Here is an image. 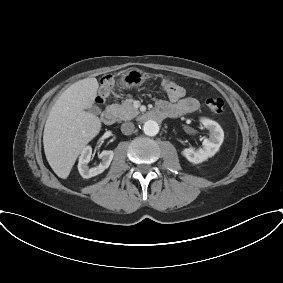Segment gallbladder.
<instances>
[{"label":"gallbladder","instance_id":"obj_1","mask_svg":"<svg viewBox=\"0 0 283 283\" xmlns=\"http://www.w3.org/2000/svg\"><path fill=\"white\" fill-rule=\"evenodd\" d=\"M88 110H89V112H91V113H93V114H99V113H100L99 108L96 107V106H92V107H90Z\"/></svg>","mask_w":283,"mask_h":283}]
</instances>
